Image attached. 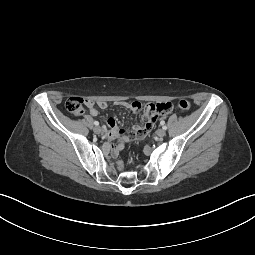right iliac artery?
Returning <instances> with one entry per match:
<instances>
[{
	"label": "right iliac artery",
	"mask_w": 255,
	"mask_h": 255,
	"mask_svg": "<svg viewBox=\"0 0 255 255\" xmlns=\"http://www.w3.org/2000/svg\"><path fill=\"white\" fill-rule=\"evenodd\" d=\"M94 125H95V126H98V125H99V122H98V121H94Z\"/></svg>",
	"instance_id": "1"
}]
</instances>
